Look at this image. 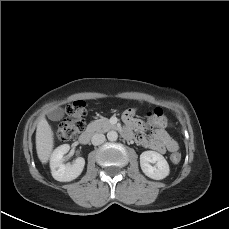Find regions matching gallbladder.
Masks as SVG:
<instances>
[{
	"label": "gallbladder",
	"mask_w": 229,
	"mask_h": 229,
	"mask_svg": "<svg viewBox=\"0 0 229 229\" xmlns=\"http://www.w3.org/2000/svg\"><path fill=\"white\" fill-rule=\"evenodd\" d=\"M49 118L51 120H54V121H57V120H60L63 118L64 116V109L62 108H56L54 110H52L50 113H49Z\"/></svg>",
	"instance_id": "bac80fb5"
}]
</instances>
